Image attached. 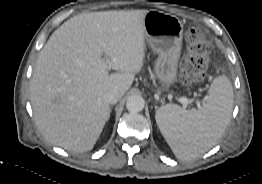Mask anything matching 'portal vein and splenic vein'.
I'll return each instance as SVG.
<instances>
[{"label": "portal vein and splenic vein", "mask_w": 262, "mask_h": 184, "mask_svg": "<svg viewBox=\"0 0 262 184\" xmlns=\"http://www.w3.org/2000/svg\"><path fill=\"white\" fill-rule=\"evenodd\" d=\"M178 101L183 104L184 108H186L190 102L186 97H180Z\"/></svg>", "instance_id": "1"}]
</instances>
